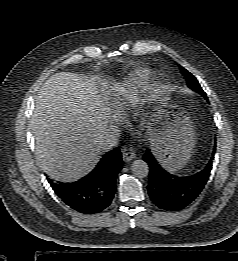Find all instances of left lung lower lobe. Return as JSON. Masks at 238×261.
Returning a JSON list of instances; mask_svg holds the SVG:
<instances>
[{"mask_svg":"<svg viewBox=\"0 0 238 261\" xmlns=\"http://www.w3.org/2000/svg\"><path fill=\"white\" fill-rule=\"evenodd\" d=\"M143 159L149 166L147 189L152 202L160 209L178 211L194 201L203 190L210 176L214 152L202 169L186 175H175L167 171L150 149H147Z\"/></svg>","mask_w":238,"mask_h":261,"instance_id":"left-lung-lower-lobe-1","label":"left lung lower lobe"}]
</instances>
